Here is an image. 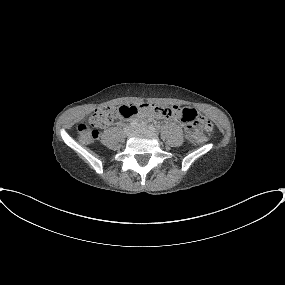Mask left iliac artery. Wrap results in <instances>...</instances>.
<instances>
[{"mask_svg":"<svg viewBox=\"0 0 285 285\" xmlns=\"http://www.w3.org/2000/svg\"><path fill=\"white\" fill-rule=\"evenodd\" d=\"M148 128H149L150 130H152L153 132H156V128H155L152 124H149V125H148Z\"/></svg>","mask_w":285,"mask_h":285,"instance_id":"1","label":"left iliac artery"}]
</instances>
